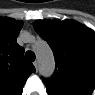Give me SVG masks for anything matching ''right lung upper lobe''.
Here are the masks:
<instances>
[{
    "mask_svg": "<svg viewBox=\"0 0 95 95\" xmlns=\"http://www.w3.org/2000/svg\"><path fill=\"white\" fill-rule=\"evenodd\" d=\"M22 22L0 18V95H21L27 78L35 71L16 42Z\"/></svg>",
    "mask_w": 95,
    "mask_h": 95,
    "instance_id": "1",
    "label": "right lung upper lobe"
}]
</instances>
